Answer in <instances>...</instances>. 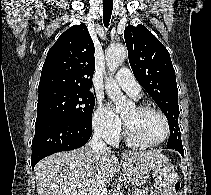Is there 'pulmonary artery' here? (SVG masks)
<instances>
[{"instance_id": "e3ab8cb5", "label": "pulmonary artery", "mask_w": 211, "mask_h": 195, "mask_svg": "<svg viewBox=\"0 0 211 195\" xmlns=\"http://www.w3.org/2000/svg\"><path fill=\"white\" fill-rule=\"evenodd\" d=\"M116 83L133 97L140 96V86L127 68L120 69L115 77Z\"/></svg>"}]
</instances>
